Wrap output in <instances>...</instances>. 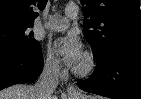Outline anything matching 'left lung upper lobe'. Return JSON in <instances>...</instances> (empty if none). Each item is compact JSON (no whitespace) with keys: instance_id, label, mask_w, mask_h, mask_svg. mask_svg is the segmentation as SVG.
<instances>
[{"instance_id":"obj_1","label":"left lung upper lobe","mask_w":141,"mask_h":99,"mask_svg":"<svg viewBox=\"0 0 141 99\" xmlns=\"http://www.w3.org/2000/svg\"><path fill=\"white\" fill-rule=\"evenodd\" d=\"M83 33L95 58L117 47L141 48L139 0H81Z\"/></svg>"}]
</instances>
